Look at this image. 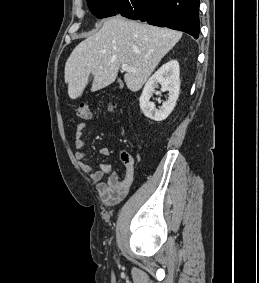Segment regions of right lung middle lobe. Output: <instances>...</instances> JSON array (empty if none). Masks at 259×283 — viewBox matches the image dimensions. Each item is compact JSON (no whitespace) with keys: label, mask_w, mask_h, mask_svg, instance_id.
<instances>
[{"label":"right lung middle lobe","mask_w":259,"mask_h":283,"mask_svg":"<svg viewBox=\"0 0 259 283\" xmlns=\"http://www.w3.org/2000/svg\"><path fill=\"white\" fill-rule=\"evenodd\" d=\"M109 1L110 0H87L91 12L98 18L112 16L113 10L109 6Z\"/></svg>","instance_id":"dd1d6c3e"}]
</instances>
